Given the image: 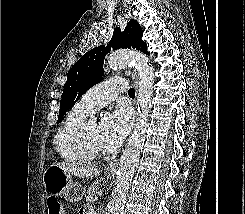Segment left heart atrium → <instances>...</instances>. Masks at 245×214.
Wrapping results in <instances>:
<instances>
[{"label":"left heart atrium","instance_id":"obj_1","mask_svg":"<svg viewBox=\"0 0 245 214\" xmlns=\"http://www.w3.org/2000/svg\"><path fill=\"white\" fill-rule=\"evenodd\" d=\"M131 127V115L125 109L107 114L97 127L99 143L105 152L117 150L126 139Z\"/></svg>","mask_w":245,"mask_h":214}]
</instances>
